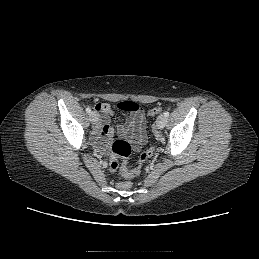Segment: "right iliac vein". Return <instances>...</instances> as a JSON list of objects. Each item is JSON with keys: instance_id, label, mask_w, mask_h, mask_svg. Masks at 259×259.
I'll use <instances>...</instances> for the list:
<instances>
[{"instance_id": "63e3f726", "label": "right iliac vein", "mask_w": 259, "mask_h": 259, "mask_svg": "<svg viewBox=\"0 0 259 259\" xmlns=\"http://www.w3.org/2000/svg\"><path fill=\"white\" fill-rule=\"evenodd\" d=\"M89 119H90V122H91L92 124H96L97 121H98V117H97V115L95 114V112H91V113H90Z\"/></svg>"}]
</instances>
